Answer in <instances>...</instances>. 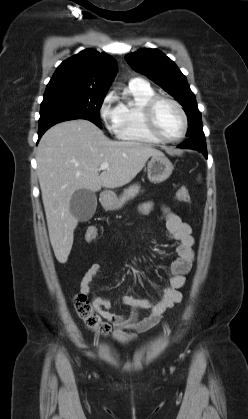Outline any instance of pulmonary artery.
Returning <instances> with one entry per match:
<instances>
[{"label": "pulmonary artery", "instance_id": "e3ab8cb5", "mask_svg": "<svg viewBox=\"0 0 248 419\" xmlns=\"http://www.w3.org/2000/svg\"><path fill=\"white\" fill-rule=\"evenodd\" d=\"M129 84H131V85H145L146 82L141 78H132L129 81Z\"/></svg>", "mask_w": 248, "mask_h": 419}]
</instances>
